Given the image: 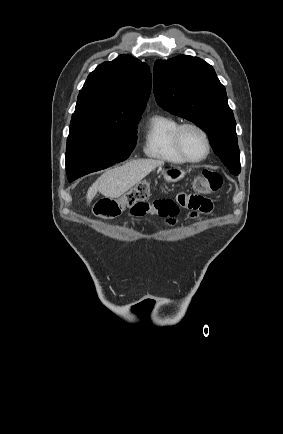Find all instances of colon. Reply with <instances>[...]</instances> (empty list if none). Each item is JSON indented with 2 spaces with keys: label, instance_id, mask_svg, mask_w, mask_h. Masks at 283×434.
Returning a JSON list of instances; mask_svg holds the SVG:
<instances>
[{
  "label": "colon",
  "instance_id": "colon-1",
  "mask_svg": "<svg viewBox=\"0 0 283 434\" xmlns=\"http://www.w3.org/2000/svg\"><path fill=\"white\" fill-rule=\"evenodd\" d=\"M222 176L214 171H203L196 180L197 190L204 193H212L222 186ZM150 195V184L142 181L127 191L118 199L105 198L100 200L94 209L95 215L110 219L122 213L126 208H131L139 202L145 201Z\"/></svg>",
  "mask_w": 283,
  "mask_h": 434
}]
</instances>
